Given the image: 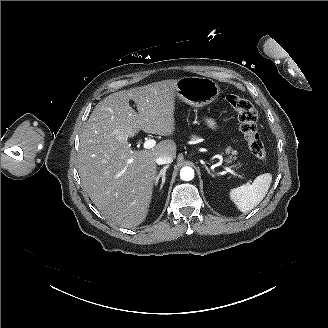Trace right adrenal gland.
Instances as JSON below:
<instances>
[{
    "label": "right adrenal gland",
    "instance_id": "2a0ac1e0",
    "mask_svg": "<svg viewBox=\"0 0 328 328\" xmlns=\"http://www.w3.org/2000/svg\"><path fill=\"white\" fill-rule=\"evenodd\" d=\"M169 167V165H166L163 169H161L160 173L158 174V176L156 177V181H155V185L158 184V181L160 178H162V182H161V185H160V190L163 188V185L165 183V171L166 169Z\"/></svg>",
    "mask_w": 328,
    "mask_h": 328
}]
</instances>
